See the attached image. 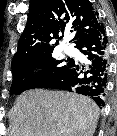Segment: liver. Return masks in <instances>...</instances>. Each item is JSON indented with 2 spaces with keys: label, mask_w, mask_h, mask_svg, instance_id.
Wrapping results in <instances>:
<instances>
[{
  "label": "liver",
  "mask_w": 117,
  "mask_h": 136,
  "mask_svg": "<svg viewBox=\"0 0 117 136\" xmlns=\"http://www.w3.org/2000/svg\"><path fill=\"white\" fill-rule=\"evenodd\" d=\"M99 118L88 97L34 89L22 93L10 110L9 136H93Z\"/></svg>",
  "instance_id": "obj_1"
}]
</instances>
